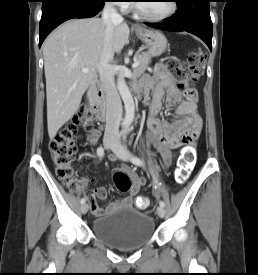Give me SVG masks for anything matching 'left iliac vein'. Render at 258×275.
Masks as SVG:
<instances>
[{
  "label": "left iliac vein",
  "mask_w": 258,
  "mask_h": 275,
  "mask_svg": "<svg viewBox=\"0 0 258 275\" xmlns=\"http://www.w3.org/2000/svg\"><path fill=\"white\" fill-rule=\"evenodd\" d=\"M113 153L120 158L121 160L128 161L129 160V154L127 150L119 143V141H115L111 147ZM157 213L159 217L163 218L166 214L165 208L162 206H159L157 208Z\"/></svg>",
  "instance_id": "obj_1"
}]
</instances>
